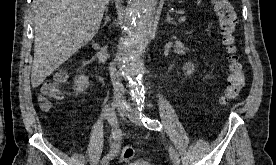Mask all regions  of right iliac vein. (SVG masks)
Masks as SVG:
<instances>
[{
	"mask_svg": "<svg viewBox=\"0 0 276 165\" xmlns=\"http://www.w3.org/2000/svg\"><path fill=\"white\" fill-rule=\"evenodd\" d=\"M121 103L119 101H113L111 104L110 112L115 116V110L120 109ZM102 165H108V160H104Z\"/></svg>",
	"mask_w": 276,
	"mask_h": 165,
	"instance_id": "1",
	"label": "right iliac vein"
}]
</instances>
